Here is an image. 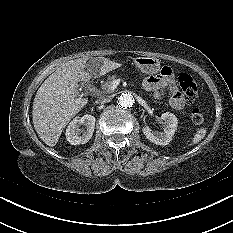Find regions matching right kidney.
I'll list each match as a JSON object with an SVG mask.
<instances>
[{
  "label": "right kidney",
  "instance_id": "ca27d5eb",
  "mask_svg": "<svg viewBox=\"0 0 233 233\" xmlns=\"http://www.w3.org/2000/svg\"><path fill=\"white\" fill-rule=\"evenodd\" d=\"M96 119L92 115H84L75 117L66 129V139L71 145H80L87 143L94 132ZM84 125L85 130H81L80 126Z\"/></svg>",
  "mask_w": 233,
  "mask_h": 233
}]
</instances>
